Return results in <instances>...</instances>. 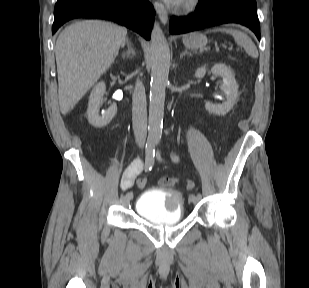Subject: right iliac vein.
Returning a JSON list of instances; mask_svg holds the SVG:
<instances>
[{"label":"right iliac vein","mask_w":309,"mask_h":288,"mask_svg":"<svg viewBox=\"0 0 309 288\" xmlns=\"http://www.w3.org/2000/svg\"><path fill=\"white\" fill-rule=\"evenodd\" d=\"M131 198H132V195H127V194H126L124 197H121L120 202H121L123 205H127V204L130 202Z\"/></svg>","instance_id":"63e3f726"}]
</instances>
